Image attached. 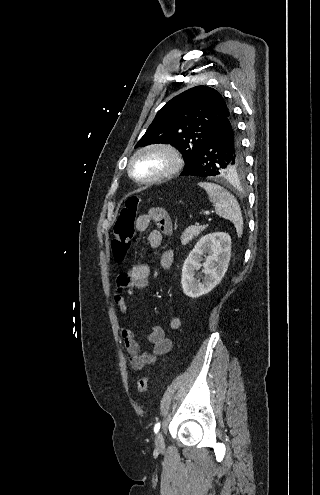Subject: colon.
Here are the masks:
<instances>
[{
    "instance_id": "5ec220e1",
    "label": "colon",
    "mask_w": 320,
    "mask_h": 495,
    "mask_svg": "<svg viewBox=\"0 0 320 495\" xmlns=\"http://www.w3.org/2000/svg\"><path fill=\"white\" fill-rule=\"evenodd\" d=\"M140 201V198L137 196L128 197L114 225L111 251L114 259L118 262H122L129 252L134 234V221ZM149 383L150 379L148 376L141 377L137 382V391L139 393H145L149 387Z\"/></svg>"
}]
</instances>
